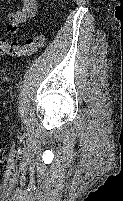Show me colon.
<instances>
[{"label":"colon","instance_id":"obj_1","mask_svg":"<svg viewBox=\"0 0 123 201\" xmlns=\"http://www.w3.org/2000/svg\"><path fill=\"white\" fill-rule=\"evenodd\" d=\"M45 36L39 34L26 40L24 44L0 40V57L4 55L12 57L29 56L36 53L45 45Z\"/></svg>","mask_w":123,"mask_h":201}]
</instances>
